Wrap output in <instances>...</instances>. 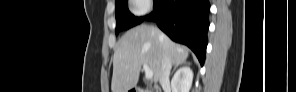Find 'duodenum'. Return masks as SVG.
I'll return each instance as SVG.
<instances>
[{
	"mask_svg": "<svg viewBox=\"0 0 296 92\" xmlns=\"http://www.w3.org/2000/svg\"><path fill=\"white\" fill-rule=\"evenodd\" d=\"M130 92H152L150 89H144L142 87H134Z\"/></svg>",
	"mask_w": 296,
	"mask_h": 92,
	"instance_id": "410a0bca",
	"label": "duodenum"
}]
</instances>
